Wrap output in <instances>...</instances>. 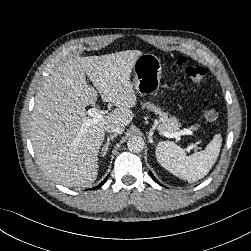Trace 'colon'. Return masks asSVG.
Masks as SVG:
<instances>
[{
    "label": "colon",
    "mask_w": 251,
    "mask_h": 251,
    "mask_svg": "<svg viewBox=\"0 0 251 251\" xmlns=\"http://www.w3.org/2000/svg\"><path fill=\"white\" fill-rule=\"evenodd\" d=\"M178 65L183 69L184 74L193 83L199 84L205 76V69L202 66L189 64L185 57L178 59ZM203 117L205 121L212 123L218 119L219 113L208 100L203 101Z\"/></svg>",
    "instance_id": "5ec220e1"
}]
</instances>
